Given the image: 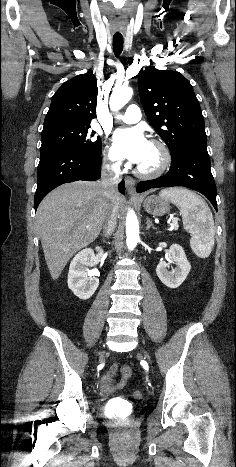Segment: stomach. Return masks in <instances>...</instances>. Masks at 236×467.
Returning a JSON list of instances; mask_svg holds the SVG:
<instances>
[{"label": "stomach", "instance_id": "obj_1", "mask_svg": "<svg viewBox=\"0 0 236 467\" xmlns=\"http://www.w3.org/2000/svg\"><path fill=\"white\" fill-rule=\"evenodd\" d=\"M144 210L155 216H163L167 214L170 210L169 202L156 195H151L142 200Z\"/></svg>", "mask_w": 236, "mask_h": 467}]
</instances>
